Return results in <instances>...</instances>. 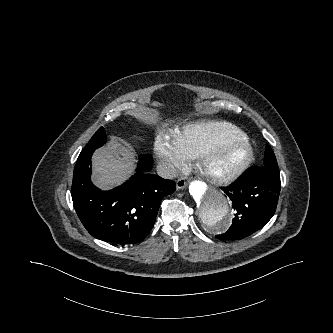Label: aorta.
Wrapping results in <instances>:
<instances>
[{
    "label": "aorta",
    "mask_w": 333,
    "mask_h": 333,
    "mask_svg": "<svg viewBox=\"0 0 333 333\" xmlns=\"http://www.w3.org/2000/svg\"><path fill=\"white\" fill-rule=\"evenodd\" d=\"M191 204L199 221L220 230L229 218L230 206L226 196L217 188L193 182L190 185Z\"/></svg>",
    "instance_id": "obj_1"
}]
</instances>
